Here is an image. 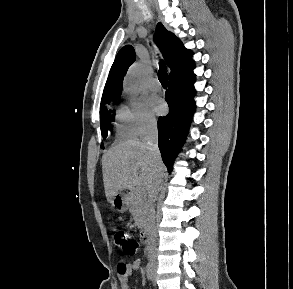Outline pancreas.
I'll return each mask as SVG.
<instances>
[{"mask_svg":"<svg viewBox=\"0 0 293 289\" xmlns=\"http://www.w3.org/2000/svg\"><path fill=\"white\" fill-rule=\"evenodd\" d=\"M130 213L134 218L135 225L142 228L146 222L147 201L144 193H136L134 190L127 196Z\"/></svg>","mask_w":293,"mask_h":289,"instance_id":"obj_1","label":"pancreas"}]
</instances>
